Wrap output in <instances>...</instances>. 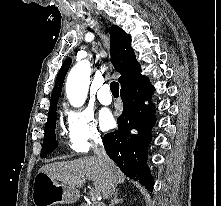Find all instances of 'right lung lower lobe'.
<instances>
[{"label": "right lung lower lobe", "mask_w": 221, "mask_h": 206, "mask_svg": "<svg viewBox=\"0 0 221 206\" xmlns=\"http://www.w3.org/2000/svg\"><path fill=\"white\" fill-rule=\"evenodd\" d=\"M153 90L140 71L124 82L120 90L123 112L117 119L118 130L106 134L103 139L108 156L121 171L148 190H153L154 181L146 165L147 148L156 119L154 105H145L144 101L151 99ZM132 129L138 130V134L131 133Z\"/></svg>", "instance_id": "right-lung-lower-lobe-1"}]
</instances>
